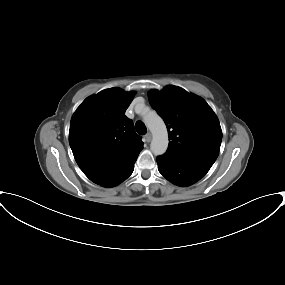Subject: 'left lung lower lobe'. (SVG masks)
Instances as JSON below:
<instances>
[{"instance_id":"0a47b994","label":"left lung lower lobe","mask_w":285,"mask_h":285,"mask_svg":"<svg viewBox=\"0 0 285 285\" xmlns=\"http://www.w3.org/2000/svg\"><path fill=\"white\" fill-rule=\"evenodd\" d=\"M157 163L161 175L178 186H189L197 182L210 169L167 154L158 156Z\"/></svg>"}]
</instances>
